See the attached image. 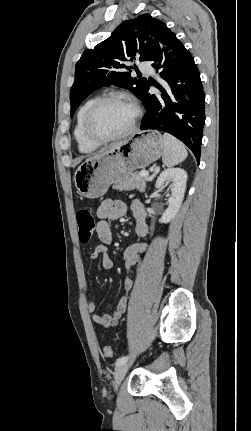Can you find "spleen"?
I'll list each match as a JSON object with an SVG mask.
<instances>
[{
  "label": "spleen",
  "mask_w": 251,
  "mask_h": 431,
  "mask_svg": "<svg viewBox=\"0 0 251 431\" xmlns=\"http://www.w3.org/2000/svg\"><path fill=\"white\" fill-rule=\"evenodd\" d=\"M164 152L163 163L167 167H173L185 160L188 153L185 145L168 133L163 135Z\"/></svg>",
  "instance_id": "1"
}]
</instances>
